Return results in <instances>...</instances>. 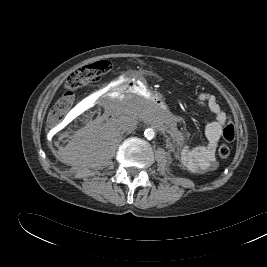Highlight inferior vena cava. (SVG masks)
Masks as SVG:
<instances>
[{"mask_svg":"<svg viewBox=\"0 0 267 267\" xmlns=\"http://www.w3.org/2000/svg\"><path fill=\"white\" fill-rule=\"evenodd\" d=\"M136 123L135 119L123 115L116 120V126L122 132H132L136 128Z\"/></svg>","mask_w":267,"mask_h":267,"instance_id":"1","label":"inferior vena cava"}]
</instances>
